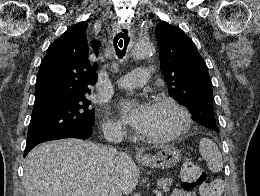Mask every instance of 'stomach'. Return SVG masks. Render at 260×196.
<instances>
[{
	"label": "stomach",
	"instance_id": "0dacf381",
	"mask_svg": "<svg viewBox=\"0 0 260 196\" xmlns=\"http://www.w3.org/2000/svg\"><path fill=\"white\" fill-rule=\"evenodd\" d=\"M181 160V152L174 146H162L160 152L156 156H148L147 160H138L143 166L148 168H159V170H166V168H173Z\"/></svg>",
	"mask_w": 260,
	"mask_h": 196
}]
</instances>
